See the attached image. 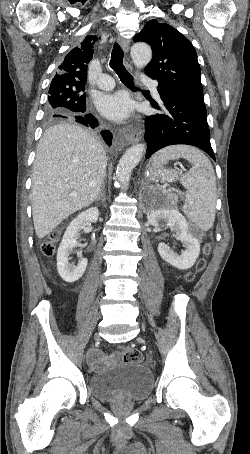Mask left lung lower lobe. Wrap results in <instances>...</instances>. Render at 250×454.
I'll return each mask as SVG.
<instances>
[{
    "label": "left lung lower lobe",
    "mask_w": 250,
    "mask_h": 454,
    "mask_svg": "<svg viewBox=\"0 0 250 454\" xmlns=\"http://www.w3.org/2000/svg\"><path fill=\"white\" fill-rule=\"evenodd\" d=\"M163 113L147 117L145 122L146 158L158 150L175 144L196 146L213 160L203 92L157 88Z\"/></svg>",
    "instance_id": "obj_1"
}]
</instances>
